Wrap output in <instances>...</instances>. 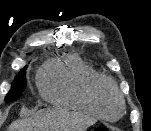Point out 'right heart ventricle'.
<instances>
[{
    "label": "right heart ventricle",
    "instance_id": "1",
    "mask_svg": "<svg viewBox=\"0 0 151 131\" xmlns=\"http://www.w3.org/2000/svg\"><path fill=\"white\" fill-rule=\"evenodd\" d=\"M102 78L89 63L68 55L47 63L39 73L38 85L40 94L48 102L101 117L93 96Z\"/></svg>",
    "mask_w": 151,
    "mask_h": 131
}]
</instances>
